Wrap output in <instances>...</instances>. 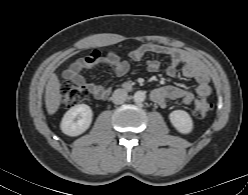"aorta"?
<instances>
[{
	"label": "aorta",
	"mask_w": 248,
	"mask_h": 195,
	"mask_svg": "<svg viewBox=\"0 0 248 195\" xmlns=\"http://www.w3.org/2000/svg\"><path fill=\"white\" fill-rule=\"evenodd\" d=\"M146 94L144 91H137L135 92L133 99L136 103H141L145 100Z\"/></svg>",
	"instance_id": "obj_1"
}]
</instances>
